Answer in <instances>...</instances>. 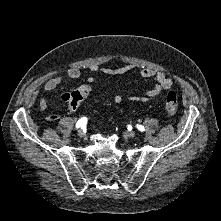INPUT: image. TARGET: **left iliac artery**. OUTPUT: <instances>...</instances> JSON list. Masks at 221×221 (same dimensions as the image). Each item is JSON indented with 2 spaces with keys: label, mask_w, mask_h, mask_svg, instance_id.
I'll use <instances>...</instances> for the list:
<instances>
[{
  "label": "left iliac artery",
  "mask_w": 221,
  "mask_h": 221,
  "mask_svg": "<svg viewBox=\"0 0 221 221\" xmlns=\"http://www.w3.org/2000/svg\"><path fill=\"white\" fill-rule=\"evenodd\" d=\"M137 128L138 130H140L141 132H143L145 129H144V126L142 125H137Z\"/></svg>",
  "instance_id": "left-iliac-artery-1"
}]
</instances>
